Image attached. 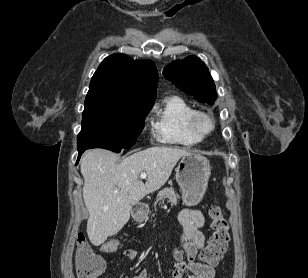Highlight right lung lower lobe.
<instances>
[{
    "label": "right lung lower lobe",
    "mask_w": 308,
    "mask_h": 278,
    "mask_svg": "<svg viewBox=\"0 0 308 278\" xmlns=\"http://www.w3.org/2000/svg\"><path fill=\"white\" fill-rule=\"evenodd\" d=\"M86 149H82V150H78V159H77V162L79 161L80 159V156L82 155V153L85 151Z\"/></svg>",
    "instance_id": "right-lung-lower-lobe-1"
}]
</instances>
